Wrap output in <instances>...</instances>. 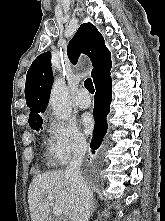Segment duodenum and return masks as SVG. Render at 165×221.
I'll list each match as a JSON object with an SVG mask.
<instances>
[{"label": "duodenum", "instance_id": "410a0bca", "mask_svg": "<svg viewBox=\"0 0 165 221\" xmlns=\"http://www.w3.org/2000/svg\"><path fill=\"white\" fill-rule=\"evenodd\" d=\"M45 221H57V220H54V219H52V218H48V219H46Z\"/></svg>", "mask_w": 165, "mask_h": 221}]
</instances>
